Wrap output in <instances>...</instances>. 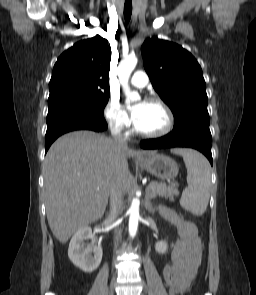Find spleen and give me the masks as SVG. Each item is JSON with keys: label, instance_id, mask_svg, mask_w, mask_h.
Wrapping results in <instances>:
<instances>
[{"label": "spleen", "instance_id": "obj_1", "mask_svg": "<svg viewBox=\"0 0 256 295\" xmlns=\"http://www.w3.org/2000/svg\"><path fill=\"white\" fill-rule=\"evenodd\" d=\"M175 152L183 157L187 168L188 187L182 193L180 205L191 213L201 216L206 211L210 197V164L195 150L181 148Z\"/></svg>", "mask_w": 256, "mask_h": 295}]
</instances>
